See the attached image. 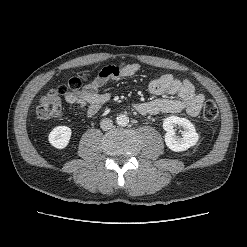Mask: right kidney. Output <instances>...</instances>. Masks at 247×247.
I'll list each match as a JSON object with an SVG mask.
<instances>
[{"mask_svg": "<svg viewBox=\"0 0 247 247\" xmlns=\"http://www.w3.org/2000/svg\"><path fill=\"white\" fill-rule=\"evenodd\" d=\"M72 130L67 126H57L49 134V142L57 149L65 148L71 138Z\"/></svg>", "mask_w": 247, "mask_h": 247, "instance_id": "ca27d5eb", "label": "right kidney"}]
</instances>
